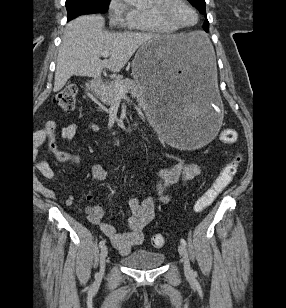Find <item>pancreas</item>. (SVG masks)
Listing matches in <instances>:
<instances>
[{"label":"pancreas","instance_id":"1","mask_svg":"<svg viewBox=\"0 0 286 308\" xmlns=\"http://www.w3.org/2000/svg\"><path fill=\"white\" fill-rule=\"evenodd\" d=\"M116 84H121L127 87L132 97L137 98L140 101L143 100L144 89L140 84L129 79H122L121 77H118L114 81H111L107 85H103L99 88L97 95L102 103L107 105H111L113 103L118 94Z\"/></svg>","mask_w":286,"mask_h":308}]
</instances>
